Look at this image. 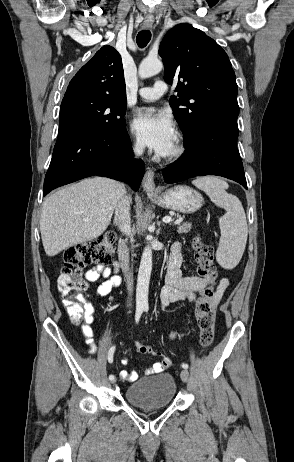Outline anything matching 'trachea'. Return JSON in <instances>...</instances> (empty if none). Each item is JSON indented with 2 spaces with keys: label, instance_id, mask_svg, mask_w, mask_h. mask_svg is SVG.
I'll return each mask as SVG.
<instances>
[{
  "label": "trachea",
  "instance_id": "trachea-1",
  "mask_svg": "<svg viewBox=\"0 0 294 462\" xmlns=\"http://www.w3.org/2000/svg\"><path fill=\"white\" fill-rule=\"evenodd\" d=\"M151 40V32L149 30H142L138 33L136 42L140 48H144Z\"/></svg>",
  "mask_w": 294,
  "mask_h": 462
}]
</instances>
